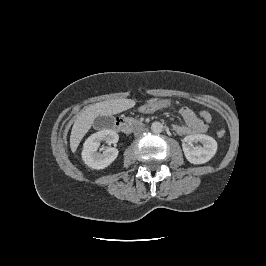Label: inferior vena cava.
<instances>
[{"label":"inferior vena cava","mask_w":266,"mask_h":266,"mask_svg":"<svg viewBox=\"0 0 266 266\" xmlns=\"http://www.w3.org/2000/svg\"><path fill=\"white\" fill-rule=\"evenodd\" d=\"M145 131H146V129H144V128L136 129L135 132H134V135L135 136H139V135H141Z\"/></svg>","instance_id":"602c4592"}]
</instances>
